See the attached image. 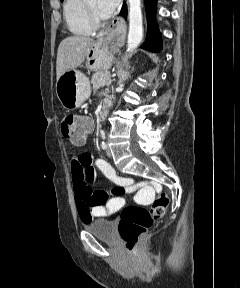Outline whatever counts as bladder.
<instances>
[{
  "label": "bladder",
  "instance_id": "bladder-1",
  "mask_svg": "<svg viewBox=\"0 0 240 288\" xmlns=\"http://www.w3.org/2000/svg\"><path fill=\"white\" fill-rule=\"evenodd\" d=\"M86 231L106 243L116 240L115 223L107 219H98L85 225Z\"/></svg>",
  "mask_w": 240,
  "mask_h": 288
}]
</instances>
